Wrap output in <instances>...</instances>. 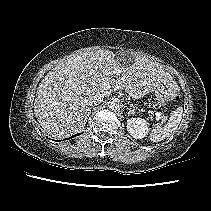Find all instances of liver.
Returning <instances> with one entry per match:
<instances>
[{"label":"liver","mask_w":211,"mask_h":211,"mask_svg":"<svg viewBox=\"0 0 211 211\" xmlns=\"http://www.w3.org/2000/svg\"><path fill=\"white\" fill-rule=\"evenodd\" d=\"M109 50L84 52L63 60L40 82L34 100V113L41 127L52 137L64 138L81 131L91 109L89 97L138 87L151 91L173 77L157 62L132 58L124 65ZM120 71V74H116ZM116 74V79L109 77ZM108 80H103V78Z\"/></svg>","instance_id":"obj_1"}]
</instances>
